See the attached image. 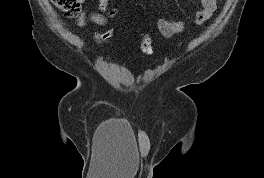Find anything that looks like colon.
Segmentation results:
<instances>
[{"mask_svg": "<svg viewBox=\"0 0 264 178\" xmlns=\"http://www.w3.org/2000/svg\"><path fill=\"white\" fill-rule=\"evenodd\" d=\"M51 2L68 17L75 18L80 14L81 0H51ZM112 35L113 29L109 28L98 34L97 41L100 44H104ZM140 50L146 55H151L153 53L152 38L147 32L143 33L141 36Z\"/></svg>", "mask_w": 264, "mask_h": 178, "instance_id": "colon-1", "label": "colon"}]
</instances>
